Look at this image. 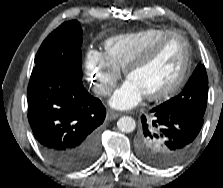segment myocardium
Masks as SVG:
<instances>
[{
	"instance_id": "f54148a6",
	"label": "myocardium",
	"mask_w": 223,
	"mask_h": 188,
	"mask_svg": "<svg viewBox=\"0 0 223 188\" xmlns=\"http://www.w3.org/2000/svg\"><path fill=\"white\" fill-rule=\"evenodd\" d=\"M178 36L183 40L185 46V55L183 65L181 67L180 73L177 78L167 87L163 88L160 91L150 93L145 95V97L150 101H159L163 99H167L173 95H175L184 85L191 68V60H192V50L191 45L187 37L181 33L180 31H168L161 36L157 37L153 40L148 46L143 48L135 58L128 63V65L124 68V73L127 78H129L131 72L145 63L156 51L157 49L170 37Z\"/></svg>"
}]
</instances>
